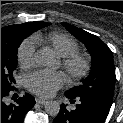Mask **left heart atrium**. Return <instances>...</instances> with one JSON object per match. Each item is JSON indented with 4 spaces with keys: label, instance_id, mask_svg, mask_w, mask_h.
I'll use <instances>...</instances> for the list:
<instances>
[{
    "label": "left heart atrium",
    "instance_id": "39dd6f15",
    "mask_svg": "<svg viewBox=\"0 0 123 123\" xmlns=\"http://www.w3.org/2000/svg\"><path fill=\"white\" fill-rule=\"evenodd\" d=\"M65 75L60 71L39 70L27 76L26 86L40 97H50L65 84Z\"/></svg>",
    "mask_w": 123,
    "mask_h": 123
}]
</instances>
